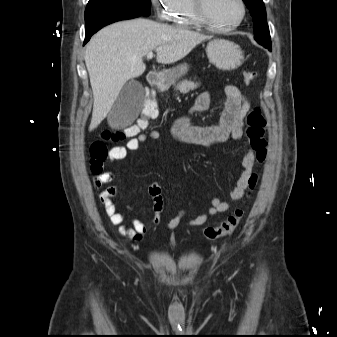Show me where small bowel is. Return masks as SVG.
<instances>
[{"mask_svg": "<svg viewBox=\"0 0 337 337\" xmlns=\"http://www.w3.org/2000/svg\"><path fill=\"white\" fill-rule=\"evenodd\" d=\"M226 101L221 112L220 121L216 125L198 126L191 123V115L204 112L209 109L211 104V94L203 92L198 95L188 114L176 120L172 127L173 136L180 141L203 146H212L229 140L240 141L243 137L244 119L250 109V104L243 92L234 85H227L224 88ZM157 113V112H156ZM160 138L158 131L152 130L149 133H141L130 138L125 145H116L109 149L108 159L110 161L122 160L127 156L128 151L138 150L141 144L148 140L156 141ZM243 171L236 181L234 188L229 195L230 202H237L242 199L248 189V182L252 175V169L255 165V154L251 149L244 151L241 159ZM115 179V174L111 171L103 172L93 179V186L99 190V202L104 206L105 213L114 226H118V232L121 236L133 241H140L148 232V225L139 220L132 219L129 224L125 223V216L121 213L114 197L119 193L117 186H108ZM160 184L154 182L149 186V193L153 200V216L151 226L157 227L161 221L163 211V198ZM230 204L219 197H214L210 201V207L203 214L191 219L188 227H199L204 225L210 217L218 213L227 212ZM186 212L181 209L169 220L167 228L176 229L181 223Z\"/></svg>", "mask_w": 337, "mask_h": 337, "instance_id": "obj_1", "label": "small bowel"}]
</instances>
